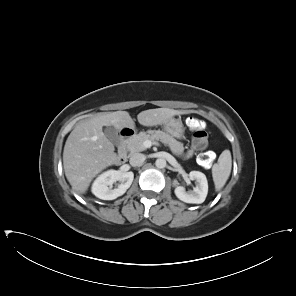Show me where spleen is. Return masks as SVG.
I'll return each instance as SVG.
<instances>
[{
    "mask_svg": "<svg viewBox=\"0 0 296 296\" xmlns=\"http://www.w3.org/2000/svg\"><path fill=\"white\" fill-rule=\"evenodd\" d=\"M232 168V157L230 150H224L220 157L218 164H215L212 170L215 190L220 192L229 179Z\"/></svg>",
    "mask_w": 296,
    "mask_h": 296,
    "instance_id": "spleen-1",
    "label": "spleen"
}]
</instances>
